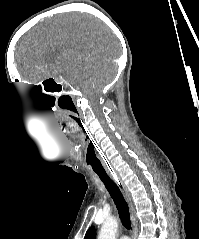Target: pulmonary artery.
<instances>
[{"instance_id":"1","label":"pulmonary artery","mask_w":199,"mask_h":239,"mask_svg":"<svg viewBox=\"0 0 199 239\" xmlns=\"http://www.w3.org/2000/svg\"><path fill=\"white\" fill-rule=\"evenodd\" d=\"M120 239H129L127 236H121Z\"/></svg>"}]
</instances>
